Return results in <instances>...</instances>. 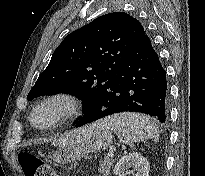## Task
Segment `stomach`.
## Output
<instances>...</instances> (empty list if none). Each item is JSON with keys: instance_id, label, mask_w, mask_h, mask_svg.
Segmentation results:
<instances>
[{"instance_id": "obj_1", "label": "stomach", "mask_w": 205, "mask_h": 176, "mask_svg": "<svg viewBox=\"0 0 205 176\" xmlns=\"http://www.w3.org/2000/svg\"><path fill=\"white\" fill-rule=\"evenodd\" d=\"M88 127L87 134L82 140L70 146L58 148L53 153V160L64 165L110 146L113 134L109 128L99 126L97 123Z\"/></svg>"}]
</instances>
